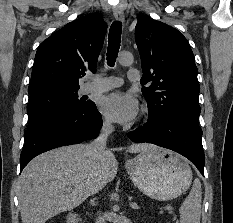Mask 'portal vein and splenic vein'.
I'll return each instance as SVG.
<instances>
[{
    "mask_svg": "<svg viewBox=\"0 0 233 223\" xmlns=\"http://www.w3.org/2000/svg\"><path fill=\"white\" fill-rule=\"evenodd\" d=\"M131 207H134V209H139V205H137V203H134V201H131Z\"/></svg>",
    "mask_w": 233,
    "mask_h": 223,
    "instance_id": "18ae733b",
    "label": "portal vein and splenic vein"
}]
</instances>
